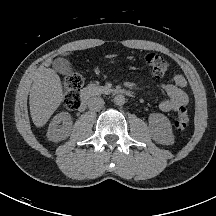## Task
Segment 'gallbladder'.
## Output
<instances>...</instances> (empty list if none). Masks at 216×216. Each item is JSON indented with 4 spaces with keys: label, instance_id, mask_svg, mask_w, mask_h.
<instances>
[{
    "label": "gallbladder",
    "instance_id": "gallbladder-1",
    "mask_svg": "<svg viewBox=\"0 0 216 216\" xmlns=\"http://www.w3.org/2000/svg\"><path fill=\"white\" fill-rule=\"evenodd\" d=\"M53 68L56 72L67 75L72 73V65L71 63L63 58H57L53 61Z\"/></svg>",
    "mask_w": 216,
    "mask_h": 216
}]
</instances>
